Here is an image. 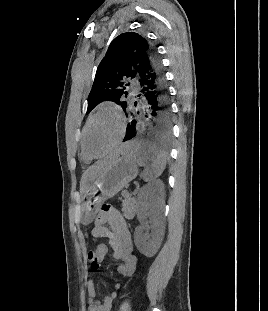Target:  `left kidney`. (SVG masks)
I'll return each mask as SVG.
<instances>
[{"mask_svg": "<svg viewBox=\"0 0 268 311\" xmlns=\"http://www.w3.org/2000/svg\"><path fill=\"white\" fill-rule=\"evenodd\" d=\"M164 205V184L161 180L153 181L140 190L136 205L140 225L135 229L134 243L146 257L154 256L160 248L164 235ZM148 223L150 233L145 232Z\"/></svg>", "mask_w": 268, "mask_h": 311, "instance_id": "left-kidney-1", "label": "left kidney"}]
</instances>
